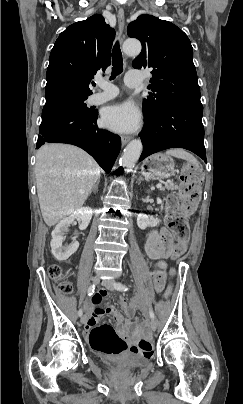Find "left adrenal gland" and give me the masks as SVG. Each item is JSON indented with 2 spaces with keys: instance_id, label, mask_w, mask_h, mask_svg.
Here are the masks:
<instances>
[{
  "instance_id": "obj_1",
  "label": "left adrenal gland",
  "mask_w": 243,
  "mask_h": 404,
  "mask_svg": "<svg viewBox=\"0 0 243 404\" xmlns=\"http://www.w3.org/2000/svg\"><path fill=\"white\" fill-rule=\"evenodd\" d=\"M141 180H143L142 176H140L138 184H141Z\"/></svg>"
}]
</instances>
